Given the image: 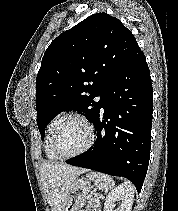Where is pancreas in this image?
<instances>
[{
	"label": "pancreas",
	"instance_id": "1",
	"mask_svg": "<svg viewBox=\"0 0 178 211\" xmlns=\"http://www.w3.org/2000/svg\"><path fill=\"white\" fill-rule=\"evenodd\" d=\"M87 203L88 206L92 207L95 211H97V208L100 207V202L98 197L89 198Z\"/></svg>",
	"mask_w": 178,
	"mask_h": 211
}]
</instances>
